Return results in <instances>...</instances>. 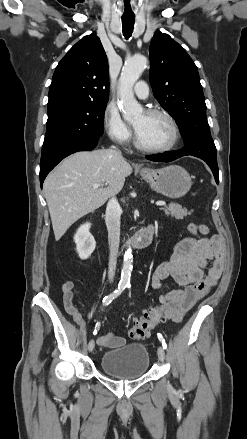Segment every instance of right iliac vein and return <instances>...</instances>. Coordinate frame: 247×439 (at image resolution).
<instances>
[{
  "instance_id": "obj_1",
  "label": "right iliac vein",
  "mask_w": 247,
  "mask_h": 439,
  "mask_svg": "<svg viewBox=\"0 0 247 439\" xmlns=\"http://www.w3.org/2000/svg\"><path fill=\"white\" fill-rule=\"evenodd\" d=\"M94 347H95L94 340H91V341L89 342V344H88V350H89V352H92V351L94 350Z\"/></svg>"
}]
</instances>
